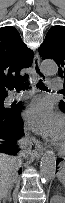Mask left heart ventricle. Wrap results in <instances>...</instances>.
Returning a JSON list of instances; mask_svg holds the SVG:
<instances>
[{
  "mask_svg": "<svg viewBox=\"0 0 65 203\" xmlns=\"http://www.w3.org/2000/svg\"><path fill=\"white\" fill-rule=\"evenodd\" d=\"M60 143H65V134H63V136L59 139Z\"/></svg>",
  "mask_w": 65,
  "mask_h": 203,
  "instance_id": "obj_1",
  "label": "left heart ventricle"
}]
</instances>
